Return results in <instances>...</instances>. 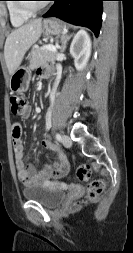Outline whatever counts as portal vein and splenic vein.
Returning <instances> with one entry per match:
<instances>
[{"mask_svg":"<svg viewBox=\"0 0 133 253\" xmlns=\"http://www.w3.org/2000/svg\"><path fill=\"white\" fill-rule=\"evenodd\" d=\"M42 48L47 49V50L52 51V52H55V53L57 52V48L53 45H45Z\"/></svg>","mask_w":133,"mask_h":253,"instance_id":"portal-vein-and-splenic-vein-1","label":"portal vein and splenic vein"}]
</instances>
